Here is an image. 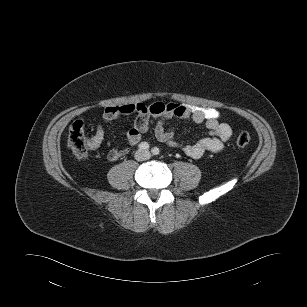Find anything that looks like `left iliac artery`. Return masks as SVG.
Returning a JSON list of instances; mask_svg holds the SVG:
<instances>
[{
  "label": "left iliac artery",
  "mask_w": 307,
  "mask_h": 307,
  "mask_svg": "<svg viewBox=\"0 0 307 307\" xmlns=\"http://www.w3.org/2000/svg\"><path fill=\"white\" fill-rule=\"evenodd\" d=\"M151 152H152L153 155H158L160 151L157 147H154V148H152Z\"/></svg>",
  "instance_id": "left-iliac-artery-1"
}]
</instances>
